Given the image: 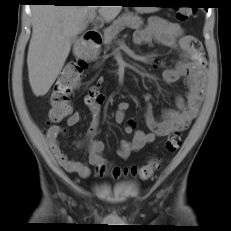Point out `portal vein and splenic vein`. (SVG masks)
I'll list each match as a JSON object with an SVG mask.
<instances>
[{"instance_id":"1","label":"portal vein and splenic vein","mask_w":231,"mask_h":231,"mask_svg":"<svg viewBox=\"0 0 231 231\" xmlns=\"http://www.w3.org/2000/svg\"><path fill=\"white\" fill-rule=\"evenodd\" d=\"M94 15L93 14H90L88 17H87V21H93L94 20Z\"/></svg>"}]
</instances>
